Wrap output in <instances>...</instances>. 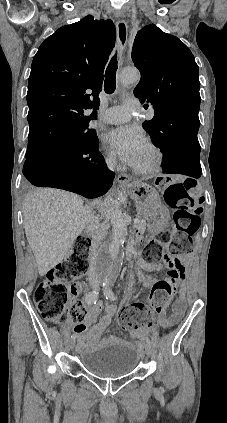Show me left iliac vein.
<instances>
[{
    "label": "left iliac vein",
    "mask_w": 227,
    "mask_h": 423,
    "mask_svg": "<svg viewBox=\"0 0 227 423\" xmlns=\"http://www.w3.org/2000/svg\"><path fill=\"white\" fill-rule=\"evenodd\" d=\"M145 350H146V352L148 353V354H150L151 352H152V347H151V345H146L145 346Z\"/></svg>",
    "instance_id": "1"
}]
</instances>
